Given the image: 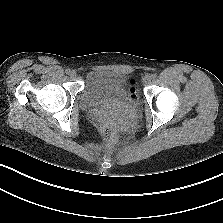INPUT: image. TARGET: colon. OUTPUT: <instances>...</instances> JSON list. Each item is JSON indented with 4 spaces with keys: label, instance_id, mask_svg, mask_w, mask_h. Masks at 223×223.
<instances>
[{
    "label": "colon",
    "instance_id": "1",
    "mask_svg": "<svg viewBox=\"0 0 223 223\" xmlns=\"http://www.w3.org/2000/svg\"><path fill=\"white\" fill-rule=\"evenodd\" d=\"M102 131H103V134H104V137L107 141H109L110 139L113 138V136L115 135L116 133V128L114 126L113 123L107 121L103 124L102 126Z\"/></svg>",
    "mask_w": 223,
    "mask_h": 223
}]
</instances>
